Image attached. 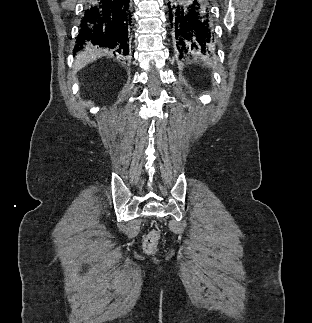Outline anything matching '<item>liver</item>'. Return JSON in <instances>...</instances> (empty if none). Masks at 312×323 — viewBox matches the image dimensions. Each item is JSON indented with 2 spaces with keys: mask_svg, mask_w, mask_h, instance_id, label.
Returning <instances> with one entry per match:
<instances>
[{
  "mask_svg": "<svg viewBox=\"0 0 312 323\" xmlns=\"http://www.w3.org/2000/svg\"><path fill=\"white\" fill-rule=\"evenodd\" d=\"M106 52V50H104ZM102 56L101 50H93V48H84L83 52H78L74 60V72H79L82 68H85L89 62H94L97 58Z\"/></svg>",
  "mask_w": 312,
  "mask_h": 323,
  "instance_id": "6515ba94",
  "label": "liver"
}]
</instances>
